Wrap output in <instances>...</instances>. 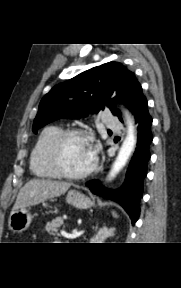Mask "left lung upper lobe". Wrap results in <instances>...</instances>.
Here are the masks:
<instances>
[{
	"label": "left lung upper lobe",
	"instance_id": "1",
	"mask_svg": "<svg viewBox=\"0 0 181 288\" xmlns=\"http://www.w3.org/2000/svg\"><path fill=\"white\" fill-rule=\"evenodd\" d=\"M141 89L133 72L119 62H108L56 85L41 100L33 132L61 118H80L108 107L122 120L115 104L128 108Z\"/></svg>",
	"mask_w": 181,
	"mask_h": 288
}]
</instances>
